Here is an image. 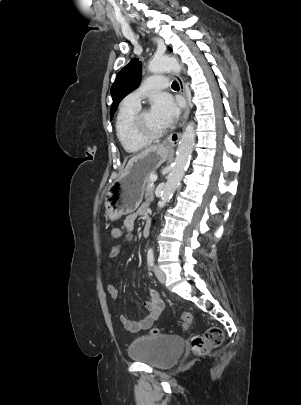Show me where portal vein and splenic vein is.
Returning <instances> with one entry per match:
<instances>
[{
    "label": "portal vein and splenic vein",
    "mask_w": 301,
    "mask_h": 405,
    "mask_svg": "<svg viewBox=\"0 0 301 405\" xmlns=\"http://www.w3.org/2000/svg\"><path fill=\"white\" fill-rule=\"evenodd\" d=\"M150 180H151L152 182H155V181L157 180V176H156V175H151V176H150Z\"/></svg>",
    "instance_id": "18ae733b"
}]
</instances>
